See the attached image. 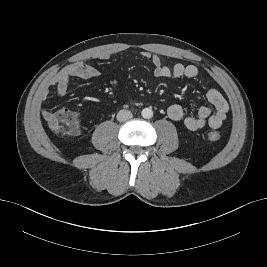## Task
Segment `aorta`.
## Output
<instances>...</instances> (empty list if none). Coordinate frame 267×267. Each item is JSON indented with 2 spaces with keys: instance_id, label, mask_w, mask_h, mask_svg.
I'll list each match as a JSON object with an SVG mask.
<instances>
[{
  "instance_id": "762f6f07",
  "label": "aorta",
  "mask_w": 267,
  "mask_h": 267,
  "mask_svg": "<svg viewBox=\"0 0 267 267\" xmlns=\"http://www.w3.org/2000/svg\"><path fill=\"white\" fill-rule=\"evenodd\" d=\"M141 115L145 119H150L153 116V111L151 108H144L141 112Z\"/></svg>"
}]
</instances>
